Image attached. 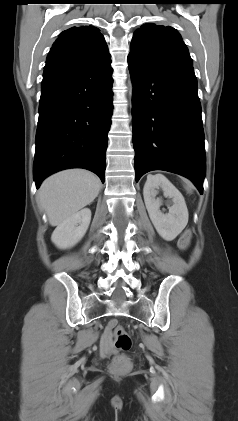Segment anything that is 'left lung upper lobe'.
Listing matches in <instances>:
<instances>
[{"mask_svg":"<svg viewBox=\"0 0 238 421\" xmlns=\"http://www.w3.org/2000/svg\"><path fill=\"white\" fill-rule=\"evenodd\" d=\"M129 56L152 66L192 64L188 49L178 31L170 26L147 23L134 33Z\"/></svg>","mask_w":238,"mask_h":421,"instance_id":"1","label":"left lung upper lobe"}]
</instances>
